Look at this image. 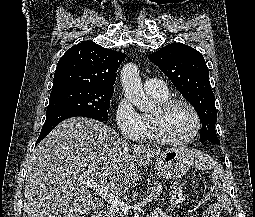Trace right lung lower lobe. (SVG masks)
I'll return each mask as SVG.
<instances>
[{
    "instance_id": "obj_1",
    "label": "right lung lower lobe",
    "mask_w": 255,
    "mask_h": 217,
    "mask_svg": "<svg viewBox=\"0 0 255 217\" xmlns=\"http://www.w3.org/2000/svg\"><path fill=\"white\" fill-rule=\"evenodd\" d=\"M76 116L95 119V118H93L89 115L83 114V113L71 112V111H66V110H58V111H54L50 114H46V120L42 127L41 133L38 137L36 144H38L43 138H45L51 132V130L56 125H58L61 121L71 118V117H76Z\"/></svg>"
}]
</instances>
